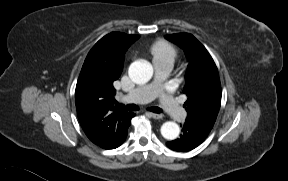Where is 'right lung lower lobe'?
I'll use <instances>...</instances> for the list:
<instances>
[{
  "instance_id": "1",
  "label": "right lung lower lobe",
  "mask_w": 288,
  "mask_h": 181,
  "mask_svg": "<svg viewBox=\"0 0 288 181\" xmlns=\"http://www.w3.org/2000/svg\"><path fill=\"white\" fill-rule=\"evenodd\" d=\"M132 115H133V116H132V118H133V117L135 116V114L132 113ZM126 135H127V132H126L125 135L123 136V139H122V141H121V144L124 142V140H125V138H126ZM121 144H120V145H121Z\"/></svg>"
}]
</instances>
